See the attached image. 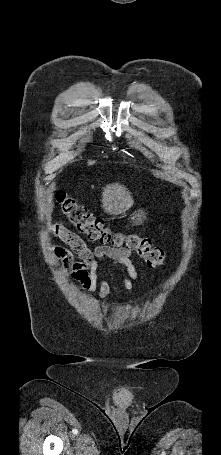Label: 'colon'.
<instances>
[{
    "instance_id": "obj_1",
    "label": "colon",
    "mask_w": 221,
    "mask_h": 455,
    "mask_svg": "<svg viewBox=\"0 0 221 455\" xmlns=\"http://www.w3.org/2000/svg\"><path fill=\"white\" fill-rule=\"evenodd\" d=\"M56 202L70 223L89 240L104 247L134 252L152 268L165 265L164 251L154 246L151 238L140 236L137 233L125 234L112 230L101 218L90 214L84 206L65 191H57Z\"/></svg>"
}]
</instances>
